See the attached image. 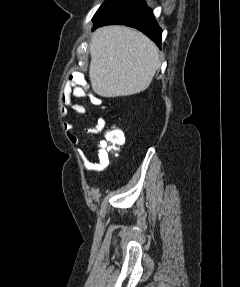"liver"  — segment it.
Here are the masks:
<instances>
[{"instance_id":"6515ba94","label":"liver","mask_w":240,"mask_h":287,"mask_svg":"<svg viewBox=\"0 0 240 287\" xmlns=\"http://www.w3.org/2000/svg\"><path fill=\"white\" fill-rule=\"evenodd\" d=\"M89 78L102 97L146 90L160 67L159 50L144 34L125 26L97 29L90 42Z\"/></svg>"}]
</instances>
